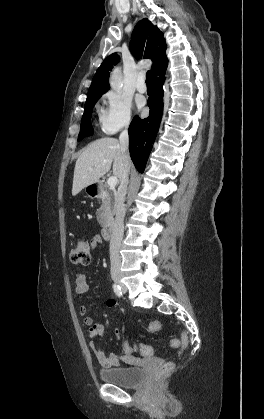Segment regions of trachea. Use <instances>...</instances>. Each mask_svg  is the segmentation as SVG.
<instances>
[{
    "label": "trachea",
    "mask_w": 264,
    "mask_h": 419,
    "mask_svg": "<svg viewBox=\"0 0 264 419\" xmlns=\"http://www.w3.org/2000/svg\"><path fill=\"white\" fill-rule=\"evenodd\" d=\"M146 83H147V85H152L153 84V82H152V75H151V71L150 70L147 71V73H146Z\"/></svg>",
    "instance_id": "trachea-1"
}]
</instances>
